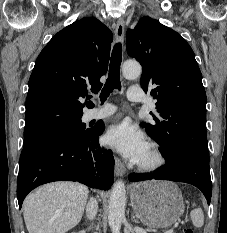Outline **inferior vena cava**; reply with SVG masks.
<instances>
[{"label": "inferior vena cava", "mask_w": 227, "mask_h": 233, "mask_svg": "<svg viewBox=\"0 0 227 233\" xmlns=\"http://www.w3.org/2000/svg\"><path fill=\"white\" fill-rule=\"evenodd\" d=\"M98 203L94 198H91L86 206L87 217L92 220L97 214Z\"/></svg>", "instance_id": "inferior-vena-cava-1"}]
</instances>
